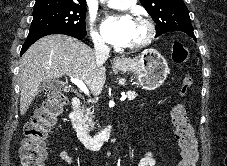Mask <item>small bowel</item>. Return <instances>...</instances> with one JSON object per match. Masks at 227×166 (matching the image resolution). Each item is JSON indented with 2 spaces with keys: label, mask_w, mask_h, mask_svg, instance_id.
I'll list each match as a JSON object with an SVG mask.
<instances>
[{
  "label": "small bowel",
  "mask_w": 227,
  "mask_h": 166,
  "mask_svg": "<svg viewBox=\"0 0 227 166\" xmlns=\"http://www.w3.org/2000/svg\"><path fill=\"white\" fill-rule=\"evenodd\" d=\"M59 158L65 163H71L74 159V156L66 150H61L59 152ZM137 166H156V161L153 158V155L151 153H148L143 158H141Z\"/></svg>",
  "instance_id": "obj_1"
}]
</instances>
